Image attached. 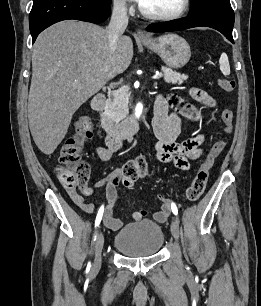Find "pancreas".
<instances>
[{"instance_id": "1", "label": "pancreas", "mask_w": 261, "mask_h": 306, "mask_svg": "<svg viewBox=\"0 0 261 306\" xmlns=\"http://www.w3.org/2000/svg\"><path fill=\"white\" fill-rule=\"evenodd\" d=\"M164 80L167 83L182 84L188 76L177 73L169 68L162 69ZM108 116L115 122H119L128 114V91L125 87L113 91L107 99Z\"/></svg>"}]
</instances>
